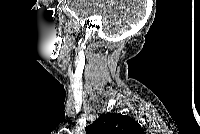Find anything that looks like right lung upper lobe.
<instances>
[{"label": "right lung upper lobe", "instance_id": "1", "mask_svg": "<svg viewBox=\"0 0 200 134\" xmlns=\"http://www.w3.org/2000/svg\"><path fill=\"white\" fill-rule=\"evenodd\" d=\"M86 134H141V126L132 118L116 113L102 114L85 128Z\"/></svg>", "mask_w": 200, "mask_h": 134}]
</instances>
